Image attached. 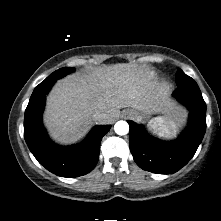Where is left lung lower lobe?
Listing matches in <instances>:
<instances>
[{
	"mask_svg": "<svg viewBox=\"0 0 221 221\" xmlns=\"http://www.w3.org/2000/svg\"><path fill=\"white\" fill-rule=\"evenodd\" d=\"M173 96L189 110V121L173 141H161L144 126L128 120L130 150L137 165L156 174H173L194 156L206 131V104L200 90L176 89Z\"/></svg>",
	"mask_w": 221,
	"mask_h": 221,
	"instance_id": "1",
	"label": "left lung lower lobe"
}]
</instances>
